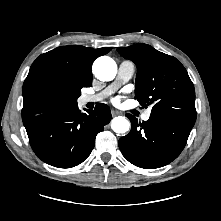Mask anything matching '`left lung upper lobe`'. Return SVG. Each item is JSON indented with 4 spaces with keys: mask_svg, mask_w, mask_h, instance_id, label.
<instances>
[{
    "mask_svg": "<svg viewBox=\"0 0 221 221\" xmlns=\"http://www.w3.org/2000/svg\"><path fill=\"white\" fill-rule=\"evenodd\" d=\"M137 66L136 99L152 105L151 116L193 127L196 120L194 85L184 66L173 56L147 44L118 48Z\"/></svg>",
    "mask_w": 221,
    "mask_h": 221,
    "instance_id": "5c2ea615",
    "label": "left lung upper lobe"
}]
</instances>
